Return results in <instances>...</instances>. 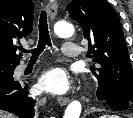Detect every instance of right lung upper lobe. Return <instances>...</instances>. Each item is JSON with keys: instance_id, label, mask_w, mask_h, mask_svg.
<instances>
[{"instance_id": "cb5924a9", "label": "right lung upper lobe", "mask_w": 133, "mask_h": 118, "mask_svg": "<svg viewBox=\"0 0 133 118\" xmlns=\"http://www.w3.org/2000/svg\"><path fill=\"white\" fill-rule=\"evenodd\" d=\"M32 30L31 0H0V65L19 64L22 54H16V44Z\"/></svg>"}]
</instances>
